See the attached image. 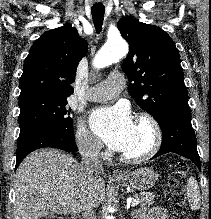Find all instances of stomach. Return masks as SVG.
<instances>
[{
  "label": "stomach",
  "mask_w": 211,
  "mask_h": 219,
  "mask_svg": "<svg viewBox=\"0 0 211 219\" xmlns=\"http://www.w3.org/2000/svg\"><path fill=\"white\" fill-rule=\"evenodd\" d=\"M158 174L151 168L142 167L128 173L120 182L129 188L147 190L154 186Z\"/></svg>",
  "instance_id": "obj_1"
}]
</instances>
